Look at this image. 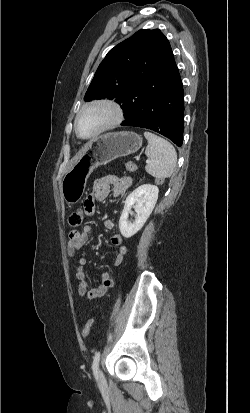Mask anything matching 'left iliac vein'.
<instances>
[{"label": "left iliac vein", "instance_id": "left-iliac-vein-1", "mask_svg": "<svg viewBox=\"0 0 250 413\" xmlns=\"http://www.w3.org/2000/svg\"><path fill=\"white\" fill-rule=\"evenodd\" d=\"M98 378H99V382L101 384H103L104 383V376H103V374L100 370L98 371Z\"/></svg>", "mask_w": 250, "mask_h": 413}]
</instances>
